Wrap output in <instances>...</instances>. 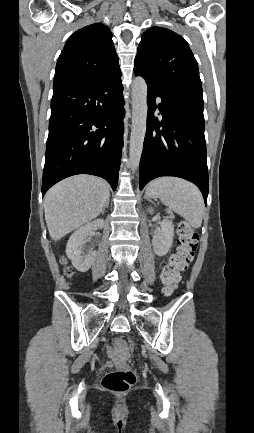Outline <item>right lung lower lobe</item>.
Masks as SVG:
<instances>
[{"label":"right lung lower lobe","mask_w":254,"mask_h":433,"mask_svg":"<svg viewBox=\"0 0 254 433\" xmlns=\"http://www.w3.org/2000/svg\"><path fill=\"white\" fill-rule=\"evenodd\" d=\"M121 75L53 88L42 196L76 174L102 177L116 189L123 146Z\"/></svg>","instance_id":"obj_1"}]
</instances>
